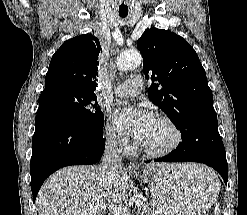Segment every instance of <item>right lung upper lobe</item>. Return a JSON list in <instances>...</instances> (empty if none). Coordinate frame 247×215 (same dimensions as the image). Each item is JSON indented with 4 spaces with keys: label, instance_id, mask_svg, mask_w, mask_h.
I'll return each mask as SVG.
<instances>
[{
    "label": "right lung upper lobe",
    "instance_id": "cb5924a9",
    "mask_svg": "<svg viewBox=\"0 0 247 215\" xmlns=\"http://www.w3.org/2000/svg\"><path fill=\"white\" fill-rule=\"evenodd\" d=\"M100 52V42L92 35H81L65 41L52 56L44 91L68 88L95 95Z\"/></svg>",
    "mask_w": 247,
    "mask_h": 215
}]
</instances>
